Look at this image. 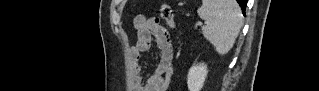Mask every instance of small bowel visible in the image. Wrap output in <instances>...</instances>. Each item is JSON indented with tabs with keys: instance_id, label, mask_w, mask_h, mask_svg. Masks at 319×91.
I'll return each instance as SVG.
<instances>
[{
	"instance_id": "c3829d8e",
	"label": "small bowel",
	"mask_w": 319,
	"mask_h": 91,
	"mask_svg": "<svg viewBox=\"0 0 319 91\" xmlns=\"http://www.w3.org/2000/svg\"><path fill=\"white\" fill-rule=\"evenodd\" d=\"M137 41L132 49L134 57L132 90L134 91H167L173 74V45L169 31L155 17L135 18ZM155 43L158 50V63L154 71L147 77L140 75L139 59L145 55Z\"/></svg>"
}]
</instances>
